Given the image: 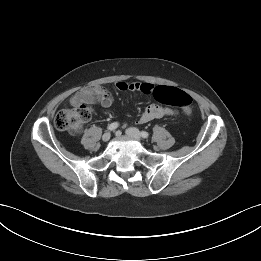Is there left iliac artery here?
<instances>
[{
    "label": "left iliac artery",
    "mask_w": 261,
    "mask_h": 261,
    "mask_svg": "<svg viewBox=\"0 0 261 261\" xmlns=\"http://www.w3.org/2000/svg\"><path fill=\"white\" fill-rule=\"evenodd\" d=\"M141 136H142L143 138H147V137L149 136V133L146 132V131H142V132H141Z\"/></svg>",
    "instance_id": "obj_1"
}]
</instances>
